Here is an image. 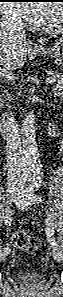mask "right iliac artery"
Listing matches in <instances>:
<instances>
[{"mask_svg":"<svg viewBox=\"0 0 63 297\" xmlns=\"http://www.w3.org/2000/svg\"><path fill=\"white\" fill-rule=\"evenodd\" d=\"M19 195H21V194H17V196H16V198L19 196ZM14 195H11V194H8V196H7V205H10L11 204V202H12V197H13ZM5 216H4V223L6 224V225H10L11 224V221H12V217H11V215H12V210L9 208V207H7L6 208V210H5ZM0 251H6V252H10V249L9 248H3L2 250H0Z\"/></svg>","mask_w":63,"mask_h":297,"instance_id":"82829eb1","label":"right iliac artery"}]
</instances>
